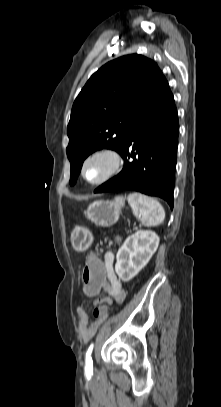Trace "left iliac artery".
Here are the masks:
<instances>
[{
	"label": "left iliac artery",
	"mask_w": 221,
	"mask_h": 407,
	"mask_svg": "<svg viewBox=\"0 0 221 407\" xmlns=\"http://www.w3.org/2000/svg\"><path fill=\"white\" fill-rule=\"evenodd\" d=\"M93 347H94V344H91V345L89 346L87 352H86V358H85L86 366H85V371H86V374H87L88 376H90V375L92 374V372H93V361H92V358H91V353H92Z\"/></svg>",
	"instance_id": "left-iliac-artery-1"
}]
</instances>
